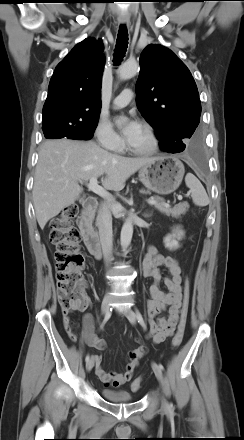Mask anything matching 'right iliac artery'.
<instances>
[{
    "label": "right iliac artery",
    "instance_id": "right-iliac-artery-1",
    "mask_svg": "<svg viewBox=\"0 0 244 440\" xmlns=\"http://www.w3.org/2000/svg\"><path fill=\"white\" fill-rule=\"evenodd\" d=\"M110 311H112V310L110 309ZM110 311H108L107 314L105 315V318H104V320H103V322H102V324L100 326L101 329L104 327L105 323L110 318V316H111V312ZM89 360H90V356L86 355L85 361L88 362Z\"/></svg>",
    "mask_w": 244,
    "mask_h": 440
}]
</instances>
